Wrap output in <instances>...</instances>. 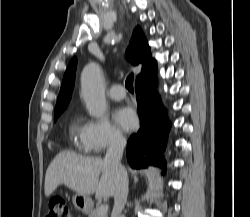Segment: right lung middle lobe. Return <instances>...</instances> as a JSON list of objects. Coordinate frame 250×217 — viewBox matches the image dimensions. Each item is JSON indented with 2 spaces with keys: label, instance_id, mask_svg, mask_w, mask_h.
<instances>
[{
  "label": "right lung middle lobe",
  "instance_id": "right-lung-middle-lobe-1",
  "mask_svg": "<svg viewBox=\"0 0 250 217\" xmlns=\"http://www.w3.org/2000/svg\"><path fill=\"white\" fill-rule=\"evenodd\" d=\"M63 111H58V112H54V120L56 121V119L59 117V115L62 113Z\"/></svg>",
  "mask_w": 250,
  "mask_h": 217
}]
</instances>
